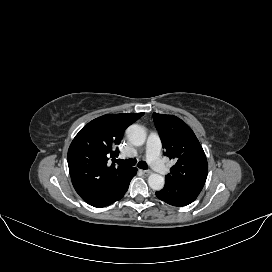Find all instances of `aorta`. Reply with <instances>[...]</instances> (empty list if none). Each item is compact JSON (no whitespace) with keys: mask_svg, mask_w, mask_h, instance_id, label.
Wrapping results in <instances>:
<instances>
[{"mask_svg":"<svg viewBox=\"0 0 272 272\" xmlns=\"http://www.w3.org/2000/svg\"><path fill=\"white\" fill-rule=\"evenodd\" d=\"M126 135L129 142L135 146H141L146 141V132L142 126L138 124H132L129 126L126 131ZM148 184L151 189L160 191L164 187L165 179L163 176L153 173L148 177Z\"/></svg>","mask_w":272,"mask_h":272,"instance_id":"obj_1","label":"aorta"}]
</instances>
